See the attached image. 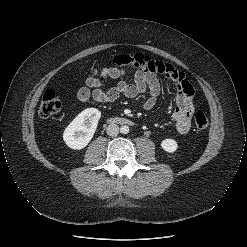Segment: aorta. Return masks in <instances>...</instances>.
Instances as JSON below:
<instances>
[{
	"instance_id": "obj_1",
	"label": "aorta",
	"mask_w": 247,
	"mask_h": 247,
	"mask_svg": "<svg viewBox=\"0 0 247 247\" xmlns=\"http://www.w3.org/2000/svg\"><path fill=\"white\" fill-rule=\"evenodd\" d=\"M129 126H127V125H123V126H121L120 127V132L122 133V134H127V133H129Z\"/></svg>"
}]
</instances>
